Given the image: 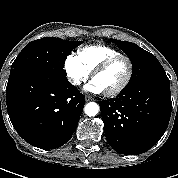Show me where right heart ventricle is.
<instances>
[{
    "label": "right heart ventricle",
    "mask_w": 178,
    "mask_h": 178,
    "mask_svg": "<svg viewBox=\"0 0 178 178\" xmlns=\"http://www.w3.org/2000/svg\"><path fill=\"white\" fill-rule=\"evenodd\" d=\"M120 54L118 50L106 45H88L78 51L79 59L89 72H93L98 65L109 57Z\"/></svg>",
    "instance_id": "obj_1"
}]
</instances>
